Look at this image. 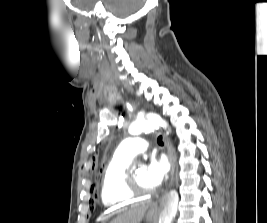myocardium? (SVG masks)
<instances>
[{
	"label": "myocardium",
	"instance_id": "obj_1",
	"mask_svg": "<svg viewBox=\"0 0 267 223\" xmlns=\"http://www.w3.org/2000/svg\"><path fill=\"white\" fill-rule=\"evenodd\" d=\"M125 188L127 191L128 196L133 200H145L147 198H149L152 194L153 191H147V190H143L141 189L133 176L132 171L127 172L126 177H125Z\"/></svg>",
	"mask_w": 267,
	"mask_h": 223
}]
</instances>
